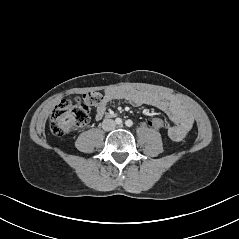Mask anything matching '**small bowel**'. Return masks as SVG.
<instances>
[{"instance_id":"small-bowel-1","label":"small bowel","mask_w":239,"mask_h":239,"mask_svg":"<svg viewBox=\"0 0 239 239\" xmlns=\"http://www.w3.org/2000/svg\"><path fill=\"white\" fill-rule=\"evenodd\" d=\"M121 99L127 100L136 106L149 105L164 112L173 122L172 126H168L166 132L172 141H181L193 126L194 119L192 114L174 96L132 87H120L105 91L101 102L96 108V119L103 118L109 105Z\"/></svg>"}]
</instances>
